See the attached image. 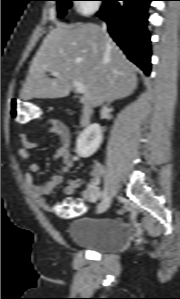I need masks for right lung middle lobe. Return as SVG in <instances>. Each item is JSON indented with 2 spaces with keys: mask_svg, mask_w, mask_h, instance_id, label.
<instances>
[{
  "mask_svg": "<svg viewBox=\"0 0 180 299\" xmlns=\"http://www.w3.org/2000/svg\"><path fill=\"white\" fill-rule=\"evenodd\" d=\"M58 2V17H63L65 12L71 6L73 0H56Z\"/></svg>",
  "mask_w": 180,
  "mask_h": 299,
  "instance_id": "dd1d6c3e",
  "label": "right lung middle lobe"
}]
</instances>
